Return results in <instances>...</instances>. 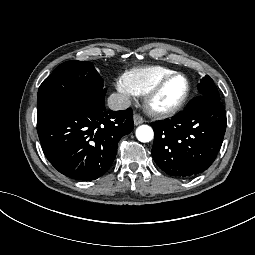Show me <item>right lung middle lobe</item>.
<instances>
[{"mask_svg":"<svg viewBox=\"0 0 255 255\" xmlns=\"http://www.w3.org/2000/svg\"><path fill=\"white\" fill-rule=\"evenodd\" d=\"M106 89L93 64L68 61L60 64L40 85L37 113L50 104L68 97H80L94 106L104 107Z\"/></svg>","mask_w":255,"mask_h":255,"instance_id":"obj_1","label":"right lung middle lobe"}]
</instances>
